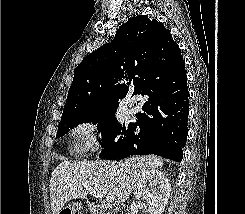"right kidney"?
<instances>
[{"label": "right kidney", "instance_id": "right-kidney-1", "mask_svg": "<svg viewBox=\"0 0 245 214\" xmlns=\"http://www.w3.org/2000/svg\"><path fill=\"white\" fill-rule=\"evenodd\" d=\"M170 183L165 175L155 169L145 173L135 188L136 201L133 202L129 214L138 212V201L146 200L150 214H162L170 195Z\"/></svg>", "mask_w": 245, "mask_h": 214}]
</instances>
